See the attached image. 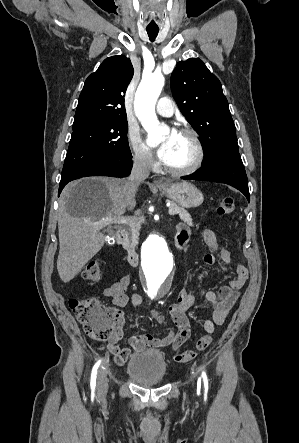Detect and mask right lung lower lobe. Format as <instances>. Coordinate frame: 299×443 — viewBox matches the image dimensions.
Listing matches in <instances>:
<instances>
[{
  "label": "right lung lower lobe",
  "mask_w": 299,
  "mask_h": 443,
  "mask_svg": "<svg viewBox=\"0 0 299 443\" xmlns=\"http://www.w3.org/2000/svg\"><path fill=\"white\" fill-rule=\"evenodd\" d=\"M132 169V155L130 158H121L117 160H108L96 163L87 168H84L68 178L61 180L58 190L60 195L64 186L75 179L87 176H111V177H126L130 174Z\"/></svg>",
  "instance_id": "98d812e1"
}]
</instances>
